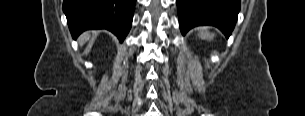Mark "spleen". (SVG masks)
I'll return each mask as SVG.
<instances>
[{
  "label": "spleen",
  "mask_w": 305,
  "mask_h": 116,
  "mask_svg": "<svg viewBox=\"0 0 305 116\" xmlns=\"http://www.w3.org/2000/svg\"><path fill=\"white\" fill-rule=\"evenodd\" d=\"M199 37L202 39H213L214 35L209 33L205 28H200Z\"/></svg>",
  "instance_id": "1"
}]
</instances>
